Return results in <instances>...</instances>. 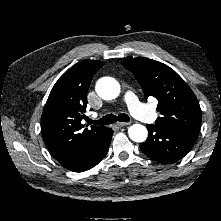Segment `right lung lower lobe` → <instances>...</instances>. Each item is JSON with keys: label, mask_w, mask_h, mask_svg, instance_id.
<instances>
[{"label": "right lung lower lobe", "mask_w": 221, "mask_h": 221, "mask_svg": "<svg viewBox=\"0 0 221 221\" xmlns=\"http://www.w3.org/2000/svg\"><path fill=\"white\" fill-rule=\"evenodd\" d=\"M112 135L113 130L107 128L103 135L94 144L76 156L61 163V165L74 172L89 170L97 165L106 155Z\"/></svg>", "instance_id": "1"}]
</instances>
